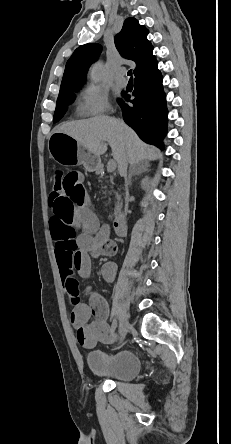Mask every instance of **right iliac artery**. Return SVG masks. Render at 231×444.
I'll list each match as a JSON object with an SVG mask.
<instances>
[{"mask_svg":"<svg viewBox=\"0 0 231 444\" xmlns=\"http://www.w3.org/2000/svg\"><path fill=\"white\" fill-rule=\"evenodd\" d=\"M112 328H113V330H115L117 328V320L116 319H114L112 322Z\"/></svg>","mask_w":231,"mask_h":444,"instance_id":"1","label":"right iliac artery"}]
</instances>
